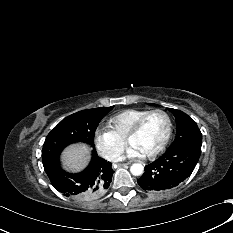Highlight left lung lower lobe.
Returning a JSON list of instances; mask_svg holds the SVG:
<instances>
[{
    "label": "left lung lower lobe",
    "instance_id": "obj_1",
    "mask_svg": "<svg viewBox=\"0 0 233 233\" xmlns=\"http://www.w3.org/2000/svg\"><path fill=\"white\" fill-rule=\"evenodd\" d=\"M201 154V149L194 147L168 148L154 162L145 166V172L138 179L139 186L148 191L172 189L188 178Z\"/></svg>",
    "mask_w": 233,
    "mask_h": 233
}]
</instances>
